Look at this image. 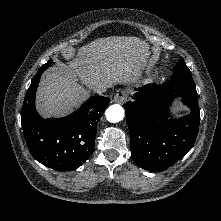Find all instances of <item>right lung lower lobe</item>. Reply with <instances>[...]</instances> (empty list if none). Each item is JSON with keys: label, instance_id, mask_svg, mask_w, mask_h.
I'll return each mask as SVG.
<instances>
[{"label": "right lung lower lobe", "instance_id": "obj_1", "mask_svg": "<svg viewBox=\"0 0 221 221\" xmlns=\"http://www.w3.org/2000/svg\"><path fill=\"white\" fill-rule=\"evenodd\" d=\"M42 73L32 79L21 110L24 137L32 156L43 165L70 171L80 167L92 154L98 120L110 99L93 96L71 115L43 119L35 109V93Z\"/></svg>", "mask_w": 221, "mask_h": 221}]
</instances>
